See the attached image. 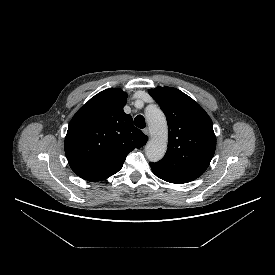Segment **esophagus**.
Returning a JSON list of instances; mask_svg holds the SVG:
<instances>
[{"mask_svg":"<svg viewBox=\"0 0 275 275\" xmlns=\"http://www.w3.org/2000/svg\"><path fill=\"white\" fill-rule=\"evenodd\" d=\"M143 132H144L147 136L150 135V130H149V128H145V129L143 130Z\"/></svg>","mask_w":275,"mask_h":275,"instance_id":"34e87169","label":"esophagus"}]
</instances>
